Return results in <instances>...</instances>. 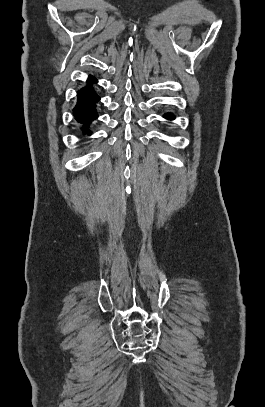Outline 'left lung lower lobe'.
Segmentation results:
<instances>
[{
    "mask_svg": "<svg viewBox=\"0 0 265 407\" xmlns=\"http://www.w3.org/2000/svg\"><path fill=\"white\" fill-rule=\"evenodd\" d=\"M165 118H166V119H169V120H172V119H174V115L171 114V113H167V114L165 115Z\"/></svg>",
    "mask_w": 265,
    "mask_h": 407,
    "instance_id": "1",
    "label": "left lung lower lobe"
}]
</instances>
